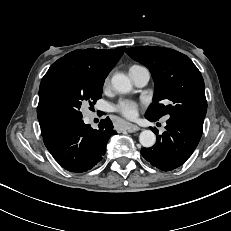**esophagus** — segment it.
<instances>
[{
	"mask_svg": "<svg viewBox=\"0 0 231 231\" xmlns=\"http://www.w3.org/2000/svg\"><path fill=\"white\" fill-rule=\"evenodd\" d=\"M125 130L129 133H133L139 130V127L133 124H127L125 126Z\"/></svg>",
	"mask_w": 231,
	"mask_h": 231,
	"instance_id": "obj_1",
	"label": "esophagus"
}]
</instances>
